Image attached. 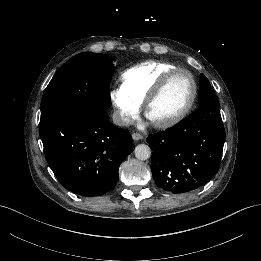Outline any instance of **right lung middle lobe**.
Returning a JSON list of instances; mask_svg holds the SVG:
<instances>
[{"mask_svg":"<svg viewBox=\"0 0 261 261\" xmlns=\"http://www.w3.org/2000/svg\"><path fill=\"white\" fill-rule=\"evenodd\" d=\"M114 60L100 53L83 52L67 61L43 94L41 119L85 108L108 109Z\"/></svg>","mask_w":261,"mask_h":261,"instance_id":"1","label":"right lung middle lobe"}]
</instances>
